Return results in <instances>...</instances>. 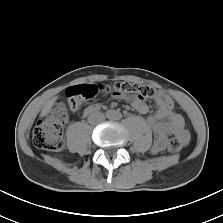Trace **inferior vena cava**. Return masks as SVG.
<instances>
[{
	"label": "inferior vena cava",
	"mask_w": 223,
	"mask_h": 223,
	"mask_svg": "<svg viewBox=\"0 0 223 223\" xmlns=\"http://www.w3.org/2000/svg\"><path fill=\"white\" fill-rule=\"evenodd\" d=\"M89 119H90V121L96 119L98 122H101L105 119V116H104V114H102L100 112H96L92 116H90Z\"/></svg>",
	"instance_id": "1"
}]
</instances>
